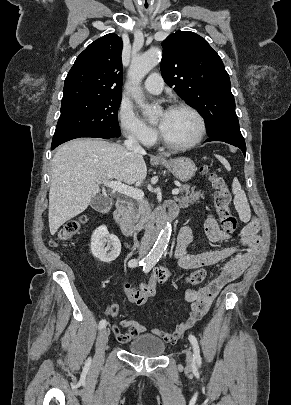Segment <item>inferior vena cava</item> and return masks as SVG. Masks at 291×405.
Wrapping results in <instances>:
<instances>
[{
  "label": "inferior vena cava",
  "mask_w": 291,
  "mask_h": 405,
  "mask_svg": "<svg viewBox=\"0 0 291 405\" xmlns=\"http://www.w3.org/2000/svg\"><path fill=\"white\" fill-rule=\"evenodd\" d=\"M124 145L127 150L137 152V153H145V150L140 146L138 141L133 136H128V139L124 141ZM154 227L151 223L146 225L145 233L142 238L140 247H139V258H142L146 255L147 251L150 248L152 236H153Z\"/></svg>",
  "instance_id": "1"
}]
</instances>
